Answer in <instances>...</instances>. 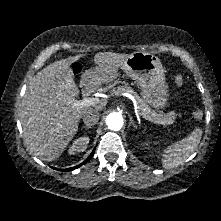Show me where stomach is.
<instances>
[{
    "mask_svg": "<svg viewBox=\"0 0 221 221\" xmlns=\"http://www.w3.org/2000/svg\"><path fill=\"white\" fill-rule=\"evenodd\" d=\"M121 69L135 80L141 88L143 100L154 108L167 105L169 91L160 59L148 52H134L125 60ZM94 69L86 71L81 78V86H87L93 77ZM117 74L114 76V79Z\"/></svg>",
    "mask_w": 221,
    "mask_h": 221,
    "instance_id": "0dacf381",
    "label": "stomach"
}]
</instances>
